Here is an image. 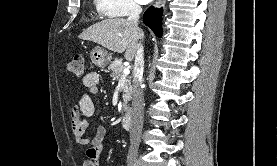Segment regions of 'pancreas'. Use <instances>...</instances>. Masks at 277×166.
Segmentation results:
<instances>
[{
	"label": "pancreas",
	"mask_w": 277,
	"mask_h": 166,
	"mask_svg": "<svg viewBox=\"0 0 277 166\" xmlns=\"http://www.w3.org/2000/svg\"><path fill=\"white\" fill-rule=\"evenodd\" d=\"M124 65L122 62V59H115L110 66L108 67L109 70H111V77L114 80H119L121 77L126 76L123 73ZM130 94H131V81L130 77H127L126 79V85H125V95L123 96V110L122 113H124L125 116H127L130 113V106L128 105V102L130 101Z\"/></svg>",
	"instance_id": "obj_1"
}]
</instances>
